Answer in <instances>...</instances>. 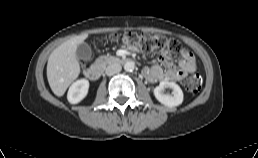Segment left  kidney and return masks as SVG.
Listing matches in <instances>:
<instances>
[{"instance_id": "obj_1", "label": "left kidney", "mask_w": 258, "mask_h": 158, "mask_svg": "<svg viewBox=\"0 0 258 158\" xmlns=\"http://www.w3.org/2000/svg\"><path fill=\"white\" fill-rule=\"evenodd\" d=\"M166 88L172 89L171 94H165ZM155 98L165 106L175 107L183 102V92L179 85L174 82L161 81L154 89Z\"/></svg>"}]
</instances>
